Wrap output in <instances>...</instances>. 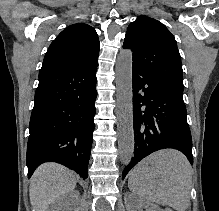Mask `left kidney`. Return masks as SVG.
<instances>
[{
    "mask_svg": "<svg viewBox=\"0 0 219 211\" xmlns=\"http://www.w3.org/2000/svg\"><path fill=\"white\" fill-rule=\"evenodd\" d=\"M139 201L140 203H137L136 207L131 209V211H143V209H146V211H161L159 205H156V203H148V201H141V199Z\"/></svg>",
    "mask_w": 219,
    "mask_h": 211,
    "instance_id": "5707ae66",
    "label": "left kidney"
}]
</instances>
